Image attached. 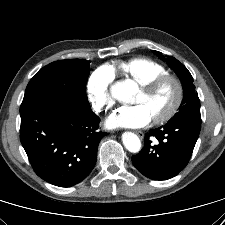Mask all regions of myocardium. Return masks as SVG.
<instances>
[{
	"label": "myocardium",
	"mask_w": 225,
	"mask_h": 225,
	"mask_svg": "<svg viewBox=\"0 0 225 225\" xmlns=\"http://www.w3.org/2000/svg\"><path fill=\"white\" fill-rule=\"evenodd\" d=\"M166 84H169L172 87L173 96L168 106L162 112L153 117L154 122L157 124L168 121L178 111L183 98L182 83L174 75L163 74L140 84L141 90L147 95L155 94L162 86Z\"/></svg>",
	"instance_id": "myocardium-1"
}]
</instances>
